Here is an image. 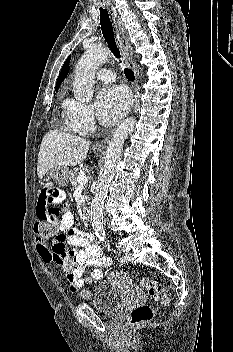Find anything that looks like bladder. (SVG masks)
Instances as JSON below:
<instances>
[{
	"instance_id": "31cf9c89",
	"label": "bladder",
	"mask_w": 233,
	"mask_h": 352,
	"mask_svg": "<svg viewBox=\"0 0 233 352\" xmlns=\"http://www.w3.org/2000/svg\"><path fill=\"white\" fill-rule=\"evenodd\" d=\"M125 300V295L121 290L109 282H101L93 291L90 305L105 315L115 316Z\"/></svg>"
}]
</instances>
